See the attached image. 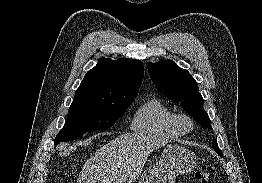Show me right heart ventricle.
Listing matches in <instances>:
<instances>
[{"instance_id": "e07e8e85", "label": "right heart ventricle", "mask_w": 262, "mask_h": 183, "mask_svg": "<svg viewBox=\"0 0 262 183\" xmlns=\"http://www.w3.org/2000/svg\"><path fill=\"white\" fill-rule=\"evenodd\" d=\"M176 113L159 98H151L136 111L132 129L169 139L180 138L184 132L176 123Z\"/></svg>"}]
</instances>
